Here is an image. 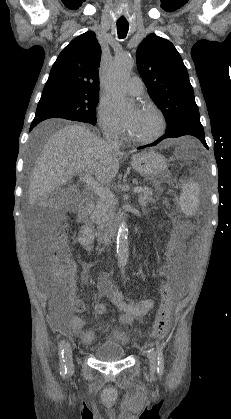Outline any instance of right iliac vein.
<instances>
[{
	"instance_id": "63e3f726",
	"label": "right iliac vein",
	"mask_w": 231,
	"mask_h": 419,
	"mask_svg": "<svg viewBox=\"0 0 231 419\" xmlns=\"http://www.w3.org/2000/svg\"><path fill=\"white\" fill-rule=\"evenodd\" d=\"M65 362L69 371H71L74 367L73 364V356H72V347L70 343H67L65 346Z\"/></svg>"
}]
</instances>
